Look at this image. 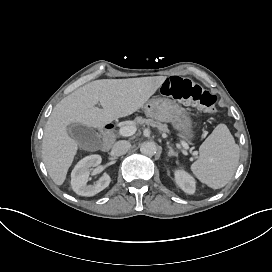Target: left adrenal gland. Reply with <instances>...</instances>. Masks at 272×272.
<instances>
[{
  "mask_svg": "<svg viewBox=\"0 0 272 272\" xmlns=\"http://www.w3.org/2000/svg\"><path fill=\"white\" fill-rule=\"evenodd\" d=\"M169 149H170V153L168 154V156L170 157V158H173V157H178V155L173 151V149L169 146L168 147Z\"/></svg>",
  "mask_w": 272,
  "mask_h": 272,
  "instance_id": "a2214340",
  "label": "left adrenal gland"
}]
</instances>
